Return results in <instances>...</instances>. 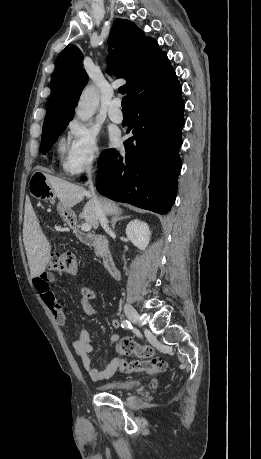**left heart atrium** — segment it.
<instances>
[{"label":"left heart atrium","mask_w":261,"mask_h":459,"mask_svg":"<svg viewBox=\"0 0 261 459\" xmlns=\"http://www.w3.org/2000/svg\"><path fill=\"white\" fill-rule=\"evenodd\" d=\"M110 140L112 143H116L118 140V135L116 133L111 134Z\"/></svg>","instance_id":"left-heart-atrium-1"}]
</instances>
